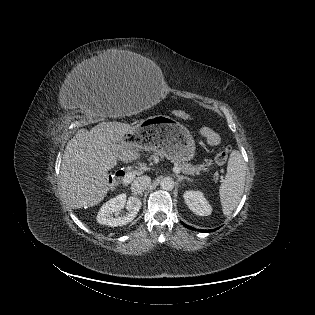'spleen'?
<instances>
[{
	"instance_id": "3e777b00",
	"label": "spleen",
	"mask_w": 315,
	"mask_h": 315,
	"mask_svg": "<svg viewBox=\"0 0 315 315\" xmlns=\"http://www.w3.org/2000/svg\"><path fill=\"white\" fill-rule=\"evenodd\" d=\"M247 166L239 151H232L227 166V174L220 185L219 196L222 211L229 216L238 206L243 195Z\"/></svg>"
}]
</instances>
